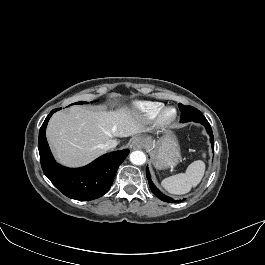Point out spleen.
<instances>
[{
	"label": "spleen",
	"mask_w": 265,
	"mask_h": 265,
	"mask_svg": "<svg viewBox=\"0 0 265 265\" xmlns=\"http://www.w3.org/2000/svg\"><path fill=\"white\" fill-rule=\"evenodd\" d=\"M203 156L205 157V153ZM204 172L205 163L201 160H197L187 167L185 173L167 177L161 184L171 194H185L201 181Z\"/></svg>",
	"instance_id": "1"
}]
</instances>
